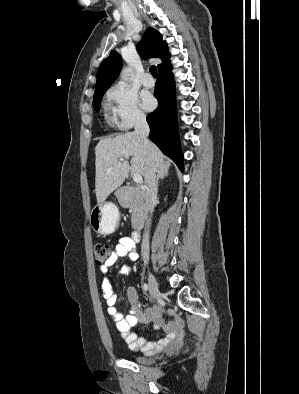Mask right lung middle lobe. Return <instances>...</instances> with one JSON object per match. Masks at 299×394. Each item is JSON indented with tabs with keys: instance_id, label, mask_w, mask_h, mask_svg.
Segmentation results:
<instances>
[{
	"instance_id": "1",
	"label": "right lung middle lobe",
	"mask_w": 299,
	"mask_h": 394,
	"mask_svg": "<svg viewBox=\"0 0 299 394\" xmlns=\"http://www.w3.org/2000/svg\"><path fill=\"white\" fill-rule=\"evenodd\" d=\"M105 91H102L98 94H95L93 97V107L96 111H99L100 109V103H101V99L104 95Z\"/></svg>"
}]
</instances>
